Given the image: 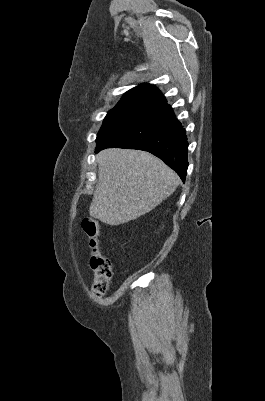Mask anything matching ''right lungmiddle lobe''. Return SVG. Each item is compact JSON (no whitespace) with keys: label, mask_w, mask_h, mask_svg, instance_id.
<instances>
[{"label":"right lung middle lobe","mask_w":265,"mask_h":401,"mask_svg":"<svg viewBox=\"0 0 265 401\" xmlns=\"http://www.w3.org/2000/svg\"><path fill=\"white\" fill-rule=\"evenodd\" d=\"M163 109L152 104H125L116 105L110 110L103 121V125L97 135V145L112 139L122 130L134 125L142 119L148 118Z\"/></svg>","instance_id":"right-lung-middle-lobe-1"}]
</instances>
